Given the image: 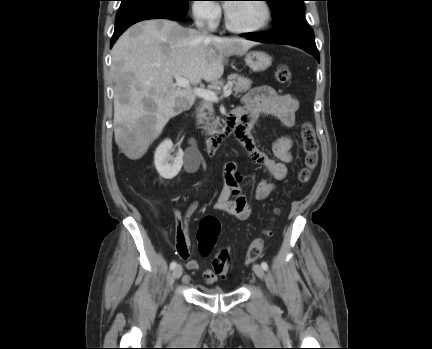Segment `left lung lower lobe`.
Here are the masks:
<instances>
[{
    "label": "left lung lower lobe",
    "instance_id": "1",
    "mask_svg": "<svg viewBox=\"0 0 432 349\" xmlns=\"http://www.w3.org/2000/svg\"><path fill=\"white\" fill-rule=\"evenodd\" d=\"M241 36L258 42L291 45L312 54L320 62L313 33L309 28L276 27L264 33H248Z\"/></svg>",
    "mask_w": 432,
    "mask_h": 349
}]
</instances>
